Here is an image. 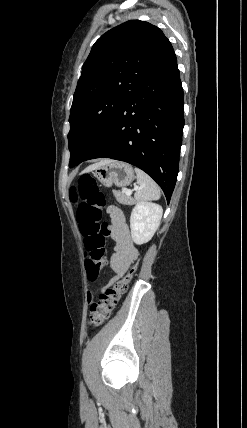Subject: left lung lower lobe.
Returning <instances> with one entry per match:
<instances>
[{
    "label": "left lung lower lobe",
    "mask_w": 247,
    "mask_h": 428,
    "mask_svg": "<svg viewBox=\"0 0 247 428\" xmlns=\"http://www.w3.org/2000/svg\"><path fill=\"white\" fill-rule=\"evenodd\" d=\"M183 105L173 53L124 101L85 160L107 157L142 169L162 188L169 203L178 175Z\"/></svg>",
    "instance_id": "left-lung-lower-lobe-1"
}]
</instances>
